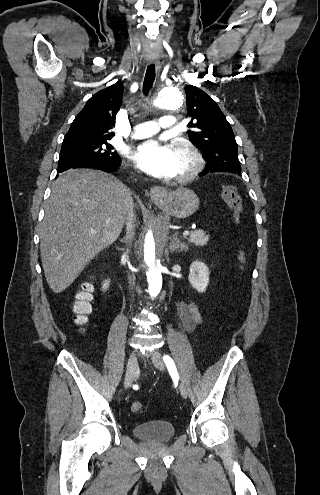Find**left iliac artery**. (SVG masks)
<instances>
[{
  "label": "left iliac artery",
  "mask_w": 320,
  "mask_h": 495,
  "mask_svg": "<svg viewBox=\"0 0 320 495\" xmlns=\"http://www.w3.org/2000/svg\"><path fill=\"white\" fill-rule=\"evenodd\" d=\"M163 359H164V362L168 368L170 375L174 379H178L179 376H178V372H177V369H176V366H175L173 359L169 355H164Z\"/></svg>",
  "instance_id": "44dca946"
}]
</instances>
